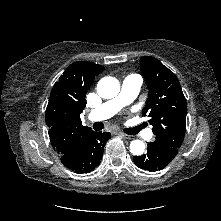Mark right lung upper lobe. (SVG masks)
<instances>
[{"instance_id": "1", "label": "right lung upper lobe", "mask_w": 221, "mask_h": 221, "mask_svg": "<svg viewBox=\"0 0 221 221\" xmlns=\"http://www.w3.org/2000/svg\"><path fill=\"white\" fill-rule=\"evenodd\" d=\"M103 69L92 62H75L67 67L51 91L45 119L51 145L60 156L78 152L92 132L81 124L80 114L86 106V92Z\"/></svg>"}]
</instances>
